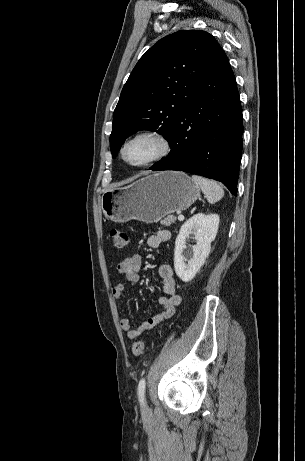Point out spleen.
<instances>
[{"label":"spleen","instance_id":"1","mask_svg":"<svg viewBox=\"0 0 305 461\" xmlns=\"http://www.w3.org/2000/svg\"><path fill=\"white\" fill-rule=\"evenodd\" d=\"M192 180L200 186L210 204L218 202L224 196L223 188L216 182L197 175H193Z\"/></svg>","mask_w":305,"mask_h":461}]
</instances>
